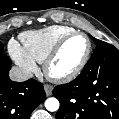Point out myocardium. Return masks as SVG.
<instances>
[{"label": "myocardium", "mask_w": 119, "mask_h": 119, "mask_svg": "<svg viewBox=\"0 0 119 119\" xmlns=\"http://www.w3.org/2000/svg\"><path fill=\"white\" fill-rule=\"evenodd\" d=\"M77 35L83 36L87 41L88 46H87V51H86L84 57L82 58L80 63L70 72L61 74V75L52 74L50 68H51L53 61L56 59V57L60 53L64 44L69 39H71L72 37L77 36ZM91 53H92V42H91L90 38L88 37V35L81 31H73V32L63 36L55 44V46L52 48V50L49 52V54L47 55V57L45 58V60L43 62V71H44L45 75L47 76V78H49L51 81L59 82V83L71 81V80L75 79L82 72V70L85 68L86 64L88 63V61L90 59Z\"/></svg>", "instance_id": "f54148a6"}]
</instances>
